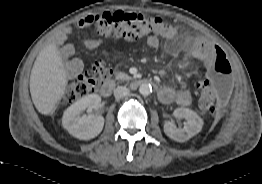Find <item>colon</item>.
Returning <instances> with one entry per match:
<instances>
[{
    "label": "colon",
    "instance_id": "1",
    "mask_svg": "<svg viewBox=\"0 0 262 184\" xmlns=\"http://www.w3.org/2000/svg\"><path fill=\"white\" fill-rule=\"evenodd\" d=\"M79 25L94 26L102 37L133 41L155 34L165 24L160 17L116 11L85 16L79 21ZM214 52L215 77L210 81H198L196 87L199 92L200 109L205 113L220 115L232 91L231 66L222 49L214 47ZM110 75L111 70L103 61L94 62L67 87L65 99L72 102L98 90Z\"/></svg>",
    "mask_w": 262,
    "mask_h": 184
}]
</instances>
